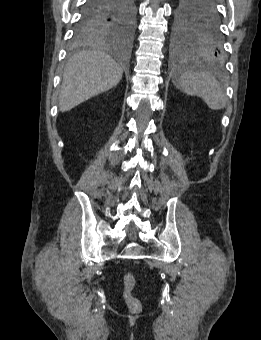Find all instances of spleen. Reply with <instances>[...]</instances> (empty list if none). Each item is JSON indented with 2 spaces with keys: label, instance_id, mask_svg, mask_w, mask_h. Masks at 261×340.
<instances>
[{
  "label": "spleen",
  "instance_id": "3e777b00",
  "mask_svg": "<svg viewBox=\"0 0 261 340\" xmlns=\"http://www.w3.org/2000/svg\"><path fill=\"white\" fill-rule=\"evenodd\" d=\"M174 85L184 93L198 96L212 110L223 109L227 96L217 79L196 62H184L176 70L173 77Z\"/></svg>",
  "mask_w": 261,
  "mask_h": 340
}]
</instances>
